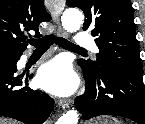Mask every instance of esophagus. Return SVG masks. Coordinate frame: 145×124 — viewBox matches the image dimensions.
<instances>
[{
    "label": "esophagus",
    "instance_id": "esophagus-1",
    "mask_svg": "<svg viewBox=\"0 0 145 124\" xmlns=\"http://www.w3.org/2000/svg\"><path fill=\"white\" fill-rule=\"evenodd\" d=\"M49 9L51 11L52 18L56 26L58 36L67 37V33L62 29L60 25V15L62 14V11L64 9V3L62 1H53L52 4L49 6ZM58 104L63 109H65L69 107V105L71 104V100L62 99L59 101Z\"/></svg>",
    "mask_w": 145,
    "mask_h": 124
}]
</instances>
